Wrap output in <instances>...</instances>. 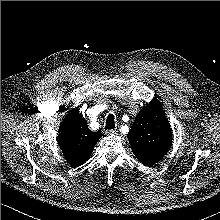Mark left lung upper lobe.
Instances as JSON below:
<instances>
[{"label": "left lung upper lobe", "instance_id": "5c2ea615", "mask_svg": "<svg viewBox=\"0 0 220 220\" xmlns=\"http://www.w3.org/2000/svg\"><path fill=\"white\" fill-rule=\"evenodd\" d=\"M128 140L137 159L147 166L154 165L168 152L172 145V132L156 98L136 116Z\"/></svg>", "mask_w": 220, "mask_h": 220}]
</instances>
